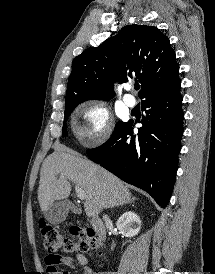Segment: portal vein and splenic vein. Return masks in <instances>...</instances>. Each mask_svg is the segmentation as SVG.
Returning a JSON list of instances; mask_svg holds the SVG:
<instances>
[{"label":"portal vein and splenic vein","instance_id":"18ae733b","mask_svg":"<svg viewBox=\"0 0 215 274\" xmlns=\"http://www.w3.org/2000/svg\"><path fill=\"white\" fill-rule=\"evenodd\" d=\"M75 191H76V194H77V197L80 199V200H84L86 198V193L83 189H81L79 186H75Z\"/></svg>","mask_w":215,"mask_h":274}]
</instances>
